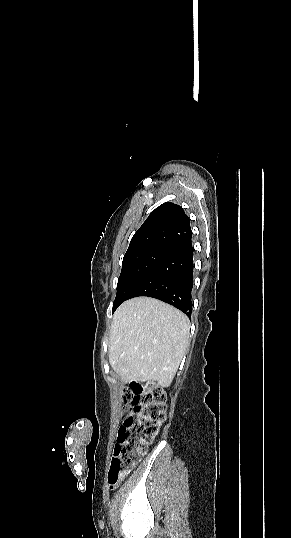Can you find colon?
<instances>
[{
  "instance_id": "1",
  "label": "colon",
  "mask_w": 291,
  "mask_h": 538,
  "mask_svg": "<svg viewBox=\"0 0 291 538\" xmlns=\"http://www.w3.org/2000/svg\"><path fill=\"white\" fill-rule=\"evenodd\" d=\"M123 399V422L107 474L110 489L116 488L139 462L146 447L159 434L166 415V395L156 385L133 382Z\"/></svg>"
}]
</instances>
